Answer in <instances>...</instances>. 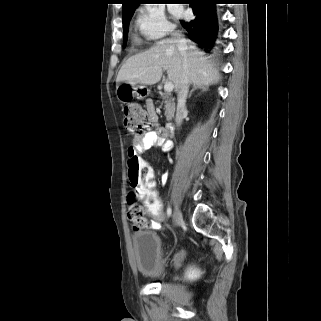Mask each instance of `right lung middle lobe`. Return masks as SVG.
I'll return each mask as SVG.
<instances>
[{"label": "right lung middle lobe", "instance_id": "dd1d6c3e", "mask_svg": "<svg viewBox=\"0 0 321 321\" xmlns=\"http://www.w3.org/2000/svg\"><path fill=\"white\" fill-rule=\"evenodd\" d=\"M134 12H129L124 15H122V22H123V46L125 47L126 42H127V34H128V27H129V22L131 20V17Z\"/></svg>", "mask_w": 321, "mask_h": 321}]
</instances>
